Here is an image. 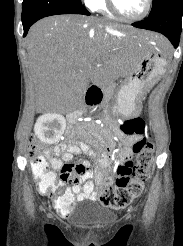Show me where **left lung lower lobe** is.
<instances>
[{"label":"left lung lower lobe","instance_id":"1","mask_svg":"<svg viewBox=\"0 0 183 246\" xmlns=\"http://www.w3.org/2000/svg\"><path fill=\"white\" fill-rule=\"evenodd\" d=\"M183 13V0H169L159 10L149 14L148 18L135 22L136 28L147 29L165 35L178 47L181 34V19Z\"/></svg>","mask_w":183,"mask_h":246}]
</instances>
